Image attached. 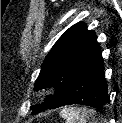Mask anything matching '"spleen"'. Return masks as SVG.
<instances>
[{
  "instance_id": "spleen-1",
  "label": "spleen",
  "mask_w": 122,
  "mask_h": 123,
  "mask_svg": "<svg viewBox=\"0 0 122 123\" xmlns=\"http://www.w3.org/2000/svg\"><path fill=\"white\" fill-rule=\"evenodd\" d=\"M60 116L66 120V123H87L92 120L93 123L97 121V114L93 109L82 108H63Z\"/></svg>"
}]
</instances>
